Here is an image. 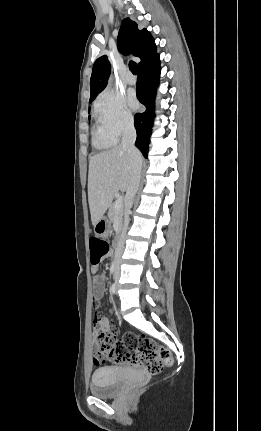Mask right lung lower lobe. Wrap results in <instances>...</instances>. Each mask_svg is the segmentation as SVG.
Returning a JSON list of instances; mask_svg holds the SVG:
<instances>
[{
    "label": "right lung lower lobe",
    "instance_id": "98d812e1",
    "mask_svg": "<svg viewBox=\"0 0 261 431\" xmlns=\"http://www.w3.org/2000/svg\"><path fill=\"white\" fill-rule=\"evenodd\" d=\"M138 68L137 98L146 109L134 117V126L137 132L135 145L147 157L154 118V99L161 70L159 54L156 53Z\"/></svg>",
    "mask_w": 261,
    "mask_h": 431
}]
</instances>
